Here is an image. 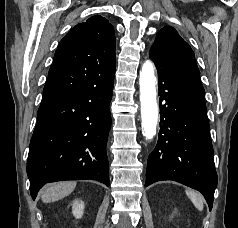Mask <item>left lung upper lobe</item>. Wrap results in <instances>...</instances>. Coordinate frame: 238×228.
<instances>
[{
	"mask_svg": "<svg viewBox=\"0 0 238 228\" xmlns=\"http://www.w3.org/2000/svg\"><path fill=\"white\" fill-rule=\"evenodd\" d=\"M150 56L161 59L173 69L189 74L200 81L194 53L173 27L166 26L157 33L150 49Z\"/></svg>",
	"mask_w": 238,
	"mask_h": 228,
	"instance_id": "1",
	"label": "left lung upper lobe"
}]
</instances>
